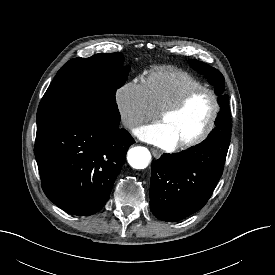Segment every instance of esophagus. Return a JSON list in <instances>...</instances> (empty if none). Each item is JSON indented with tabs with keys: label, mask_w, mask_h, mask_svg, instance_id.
<instances>
[{
	"label": "esophagus",
	"mask_w": 275,
	"mask_h": 275,
	"mask_svg": "<svg viewBox=\"0 0 275 275\" xmlns=\"http://www.w3.org/2000/svg\"><path fill=\"white\" fill-rule=\"evenodd\" d=\"M151 152L155 158H157V159L160 158L161 153L157 149L152 148Z\"/></svg>",
	"instance_id": "34e87169"
}]
</instances>
